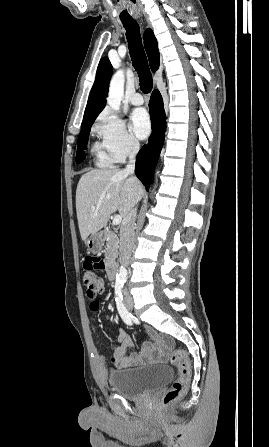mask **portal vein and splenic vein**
<instances>
[{
  "instance_id": "18ae733b",
  "label": "portal vein and splenic vein",
  "mask_w": 269,
  "mask_h": 447,
  "mask_svg": "<svg viewBox=\"0 0 269 447\" xmlns=\"http://www.w3.org/2000/svg\"><path fill=\"white\" fill-rule=\"evenodd\" d=\"M121 222H122V218H121V216H115V218H114L112 224H113V225H118V224H121Z\"/></svg>"
}]
</instances>
